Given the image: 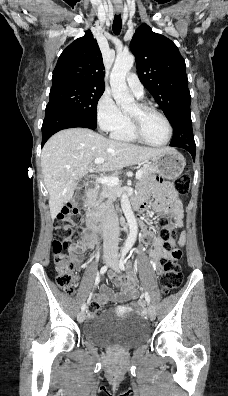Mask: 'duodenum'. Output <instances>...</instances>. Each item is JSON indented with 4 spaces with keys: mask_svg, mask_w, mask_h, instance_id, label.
I'll return each mask as SVG.
<instances>
[{
    "mask_svg": "<svg viewBox=\"0 0 228 396\" xmlns=\"http://www.w3.org/2000/svg\"><path fill=\"white\" fill-rule=\"evenodd\" d=\"M93 193V186H88L86 189V194L88 196H91ZM136 208L139 206L138 204L134 205ZM87 224L89 229H91L92 231H94L97 236L98 234H103L106 232L107 228H106V223L105 220L99 216H90L87 220ZM113 232H115V230H112Z\"/></svg>",
    "mask_w": 228,
    "mask_h": 396,
    "instance_id": "obj_1",
    "label": "duodenum"
}]
</instances>
